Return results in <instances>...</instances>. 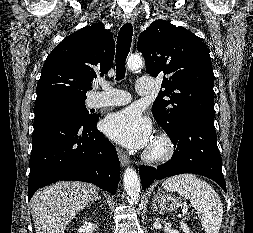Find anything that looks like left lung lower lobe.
<instances>
[{"label": "left lung lower lobe", "mask_w": 253, "mask_h": 233, "mask_svg": "<svg viewBox=\"0 0 253 233\" xmlns=\"http://www.w3.org/2000/svg\"><path fill=\"white\" fill-rule=\"evenodd\" d=\"M171 141L177 148L169 162L157 168L140 166L142 189L148 187L154 180L177 174L195 173L211 178L226 192L214 119L199 116L182 121L177 135L172 137Z\"/></svg>", "instance_id": "1"}]
</instances>
